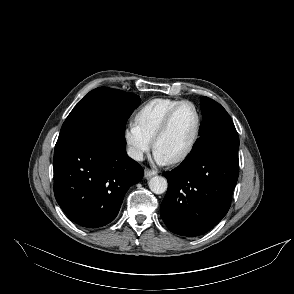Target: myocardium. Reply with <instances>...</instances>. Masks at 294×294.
I'll return each mask as SVG.
<instances>
[{"label": "myocardium", "mask_w": 294, "mask_h": 294, "mask_svg": "<svg viewBox=\"0 0 294 294\" xmlns=\"http://www.w3.org/2000/svg\"><path fill=\"white\" fill-rule=\"evenodd\" d=\"M184 105H190L193 108V110L196 114V119H197L196 127H195L194 134H193L189 144L187 145V147L178 156H176L175 158H173L169 161L171 164H177V163L184 161L190 155V153L193 151L194 147L196 146V144L198 142V139L200 137L201 130H202V123H203L202 115H201V112H200V109L198 108V106L190 100H182L179 103H177L165 115L164 119L162 120L160 126L158 127V129L153 137V147L156 148L158 141L169 129L170 124H171L175 114Z\"/></svg>", "instance_id": "obj_1"}]
</instances>
